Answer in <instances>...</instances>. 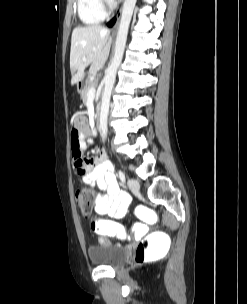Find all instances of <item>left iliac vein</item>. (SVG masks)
<instances>
[{
    "instance_id": "4c4485c4",
    "label": "left iliac vein",
    "mask_w": 247,
    "mask_h": 304,
    "mask_svg": "<svg viewBox=\"0 0 247 304\" xmlns=\"http://www.w3.org/2000/svg\"><path fill=\"white\" fill-rule=\"evenodd\" d=\"M128 187L132 192H138L140 189V184L136 179L130 178L128 179Z\"/></svg>"
}]
</instances>
